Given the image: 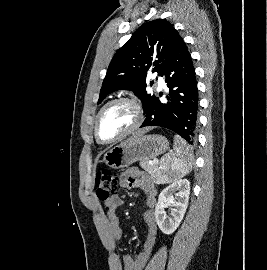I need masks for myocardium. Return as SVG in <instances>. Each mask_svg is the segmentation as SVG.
<instances>
[{
    "label": "myocardium",
    "instance_id": "f54148a6",
    "mask_svg": "<svg viewBox=\"0 0 267 270\" xmlns=\"http://www.w3.org/2000/svg\"><path fill=\"white\" fill-rule=\"evenodd\" d=\"M117 103H127V104L131 105L135 110L136 120H135L134 124L127 131H125L124 133H122L118 137L111 139V140H103L99 134L100 117L108 107H110L114 104H117ZM143 119H144V111H143L142 105L135 98L128 97V96H122V97L112 99V100L108 101L106 104H104L96 115L95 123H94V136H95L97 142L102 144V145L114 144V143L124 139L125 137L129 136L133 132H135L142 124Z\"/></svg>",
    "mask_w": 267,
    "mask_h": 270
}]
</instances>
